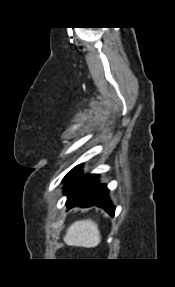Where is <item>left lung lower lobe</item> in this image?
I'll list each match as a JSON object with an SVG mask.
<instances>
[{"label": "left lung lower lobe", "mask_w": 175, "mask_h": 287, "mask_svg": "<svg viewBox=\"0 0 175 287\" xmlns=\"http://www.w3.org/2000/svg\"><path fill=\"white\" fill-rule=\"evenodd\" d=\"M98 174H86L81 176L65 193L68 209L79 207L97 206L103 208L111 216H114L115 207L109 201V190L104 184H100Z\"/></svg>", "instance_id": "left-lung-lower-lobe-1"}]
</instances>
